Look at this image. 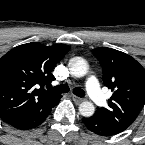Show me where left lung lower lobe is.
<instances>
[{
    "instance_id": "1",
    "label": "left lung lower lobe",
    "mask_w": 145,
    "mask_h": 145,
    "mask_svg": "<svg viewBox=\"0 0 145 145\" xmlns=\"http://www.w3.org/2000/svg\"><path fill=\"white\" fill-rule=\"evenodd\" d=\"M85 126L93 133L100 136H113L122 131L106 123L97 113L89 118H83Z\"/></svg>"
}]
</instances>
